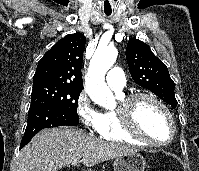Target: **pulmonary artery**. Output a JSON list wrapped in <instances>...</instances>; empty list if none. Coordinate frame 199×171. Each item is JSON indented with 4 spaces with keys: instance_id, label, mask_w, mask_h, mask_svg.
Here are the masks:
<instances>
[{
    "instance_id": "pulmonary-artery-1",
    "label": "pulmonary artery",
    "mask_w": 199,
    "mask_h": 171,
    "mask_svg": "<svg viewBox=\"0 0 199 171\" xmlns=\"http://www.w3.org/2000/svg\"><path fill=\"white\" fill-rule=\"evenodd\" d=\"M106 81L112 90L122 91L126 83L123 70L119 67H112L107 73Z\"/></svg>"
}]
</instances>
